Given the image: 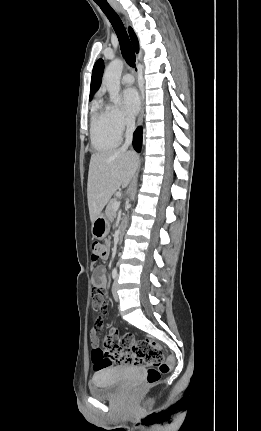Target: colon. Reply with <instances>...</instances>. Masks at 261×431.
<instances>
[{
  "mask_svg": "<svg viewBox=\"0 0 261 431\" xmlns=\"http://www.w3.org/2000/svg\"><path fill=\"white\" fill-rule=\"evenodd\" d=\"M91 250V260L97 262L107 255L108 246L93 241ZM111 357L121 360L123 363L144 367L147 385L157 383L161 375L170 370V361L166 359L165 353L158 343L150 339L136 340L132 334L123 336L121 348L113 345L110 340H106L103 348L93 351L95 373H100V369L105 367L112 369L115 363ZM140 390V387H135L132 389V394L136 395Z\"/></svg>",
  "mask_w": 261,
  "mask_h": 431,
  "instance_id": "5ec220e1",
  "label": "colon"
}]
</instances>
